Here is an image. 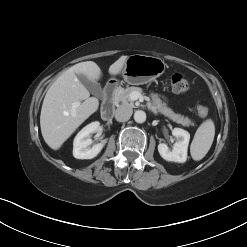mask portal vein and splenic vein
I'll return each instance as SVG.
<instances>
[{
    "mask_svg": "<svg viewBox=\"0 0 247 247\" xmlns=\"http://www.w3.org/2000/svg\"><path fill=\"white\" fill-rule=\"evenodd\" d=\"M139 97H141V94L138 93V92H132V93L130 94V98H131L132 100H137ZM79 105H80V102H79V101H76V102H74V103L72 104L73 108H76V107H78ZM151 110H152L154 113H156V109H155L154 107H151Z\"/></svg>",
    "mask_w": 247,
    "mask_h": 247,
    "instance_id": "1",
    "label": "portal vein and splenic vein"
}]
</instances>
